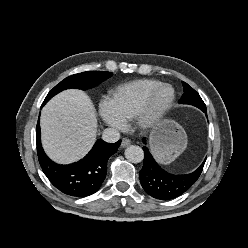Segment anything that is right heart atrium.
Masks as SVG:
<instances>
[{"mask_svg": "<svg viewBox=\"0 0 248 248\" xmlns=\"http://www.w3.org/2000/svg\"><path fill=\"white\" fill-rule=\"evenodd\" d=\"M99 116L102 121L111 128L122 130L124 122L116 113L110 97H103L99 102Z\"/></svg>", "mask_w": 248, "mask_h": 248, "instance_id": "obj_1", "label": "right heart atrium"}]
</instances>
